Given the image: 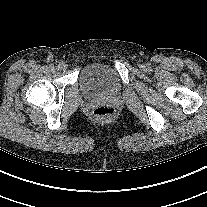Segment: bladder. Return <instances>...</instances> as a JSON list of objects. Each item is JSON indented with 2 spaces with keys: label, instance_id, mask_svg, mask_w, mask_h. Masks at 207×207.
<instances>
[{
  "label": "bladder",
  "instance_id": "31cf9c89",
  "mask_svg": "<svg viewBox=\"0 0 207 207\" xmlns=\"http://www.w3.org/2000/svg\"><path fill=\"white\" fill-rule=\"evenodd\" d=\"M80 86L90 96L113 95L120 90V81L111 65L93 62L81 72Z\"/></svg>",
  "mask_w": 207,
  "mask_h": 207
}]
</instances>
